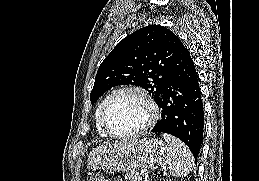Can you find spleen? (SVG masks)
<instances>
[{
    "label": "spleen",
    "mask_w": 259,
    "mask_h": 181,
    "mask_svg": "<svg viewBox=\"0 0 259 181\" xmlns=\"http://www.w3.org/2000/svg\"><path fill=\"white\" fill-rule=\"evenodd\" d=\"M170 155V173L175 177L187 176L194 166V158L189 148L178 138L164 133Z\"/></svg>",
    "instance_id": "1"
}]
</instances>
